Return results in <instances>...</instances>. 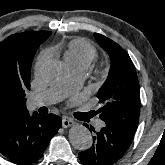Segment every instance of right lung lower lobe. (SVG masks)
<instances>
[{"label":"right lung lower lobe","mask_w":165,"mask_h":165,"mask_svg":"<svg viewBox=\"0 0 165 165\" xmlns=\"http://www.w3.org/2000/svg\"><path fill=\"white\" fill-rule=\"evenodd\" d=\"M62 125L60 117L26 114L0 128V153L19 165L40 159Z\"/></svg>","instance_id":"1"}]
</instances>
